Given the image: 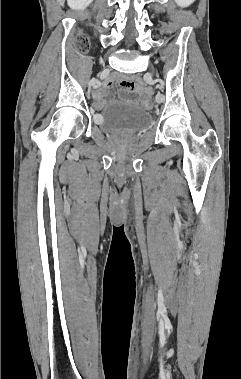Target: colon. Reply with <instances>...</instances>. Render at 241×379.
Wrapping results in <instances>:
<instances>
[{
  "label": "colon",
  "instance_id": "1",
  "mask_svg": "<svg viewBox=\"0 0 241 379\" xmlns=\"http://www.w3.org/2000/svg\"><path fill=\"white\" fill-rule=\"evenodd\" d=\"M86 39L85 37H80L77 42H76V48L79 50H82L85 46ZM169 48V47H167ZM142 102H141V109H150L151 108V97L149 94L145 93L142 97Z\"/></svg>",
  "mask_w": 241,
  "mask_h": 379
}]
</instances>
